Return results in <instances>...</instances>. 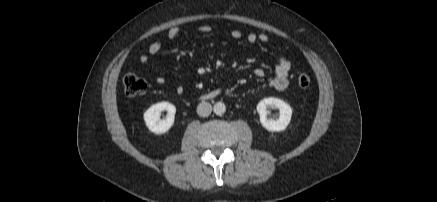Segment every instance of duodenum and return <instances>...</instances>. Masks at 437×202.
I'll list each match as a JSON object with an SVG mask.
<instances>
[{"label": "duodenum", "instance_id": "1", "mask_svg": "<svg viewBox=\"0 0 437 202\" xmlns=\"http://www.w3.org/2000/svg\"><path fill=\"white\" fill-rule=\"evenodd\" d=\"M217 94H218L217 91H213V92H210V93L205 94L204 97H205V98H210V97H214V96H216Z\"/></svg>", "mask_w": 437, "mask_h": 202}]
</instances>
